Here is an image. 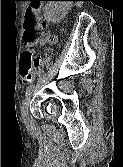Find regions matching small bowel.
Wrapping results in <instances>:
<instances>
[{"instance_id":"c3829d8e","label":"small bowel","mask_w":123,"mask_h":167,"mask_svg":"<svg viewBox=\"0 0 123 167\" xmlns=\"http://www.w3.org/2000/svg\"><path fill=\"white\" fill-rule=\"evenodd\" d=\"M54 40L55 39L53 37H51V35L49 33H45L44 36L40 39L39 43L45 44L47 41H54ZM32 80H33V75L31 76L30 79L22 78V81L24 84H29L30 82H32Z\"/></svg>"}]
</instances>
